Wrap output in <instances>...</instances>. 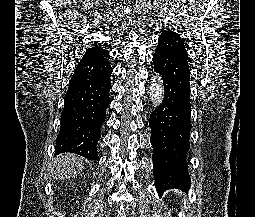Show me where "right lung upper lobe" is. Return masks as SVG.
Here are the masks:
<instances>
[{
  "label": "right lung upper lobe",
  "instance_id": "right-lung-upper-lobe-1",
  "mask_svg": "<svg viewBox=\"0 0 255 217\" xmlns=\"http://www.w3.org/2000/svg\"><path fill=\"white\" fill-rule=\"evenodd\" d=\"M108 56L109 52L107 50H104L100 46H94L86 50L85 54L80 59L79 64L104 60L107 59Z\"/></svg>",
  "mask_w": 255,
  "mask_h": 217
}]
</instances>
